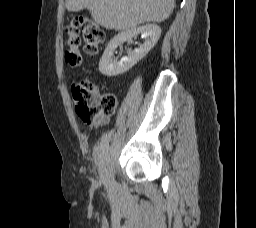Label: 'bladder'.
<instances>
[{
	"label": "bladder",
	"mask_w": 256,
	"mask_h": 228,
	"mask_svg": "<svg viewBox=\"0 0 256 228\" xmlns=\"http://www.w3.org/2000/svg\"><path fill=\"white\" fill-rule=\"evenodd\" d=\"M101 144H102V142H101ZM101 144H100V146L97 147V150H98L99 148H101ZM108 147H109V143L106 145V151L108 150Z\"/></svg>",
	"instance_id": "obj_1"
}]
</instances>
